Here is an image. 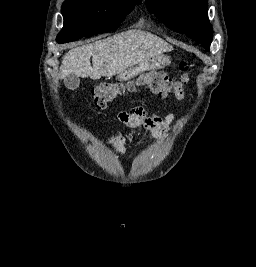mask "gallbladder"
Masks as SVG:
<instances>
[{
	"mask_svg": "<svg viewBox=\"0 0 256 267\" xmlns=\"http://www.w3.org/2000/svg\"><path fill=\"white\" fill-rule=\"evenodd\" d=\"M64 86L68 88V90H77L80 86V78L79 76H75V74H69L64 78Z\"/></svg>",
	"mask_w": 256,
	"mask_h": 267,
	"instance_id": "bac80fb5",
	"label": "gallbladder"
}]
</instances>
